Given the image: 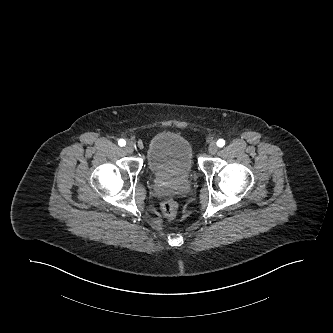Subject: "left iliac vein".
<instances>
[{
  "instance_id": "obj_1",
  "label": "left iliac vein",
  "mask_w": 333,
  "mask_h": 333,
  "mask_svg": "<svg viewBox=\"0 0 333 333\" xmlns=\"http://www.w3.org/2000/svg\"><path fill=\"white\" fill-rule=\"evenodd\" d=\"M208 151L210 154H216L218 151V147L215 142H211L208 146Z\"/></svg>"
}]
</instances>
